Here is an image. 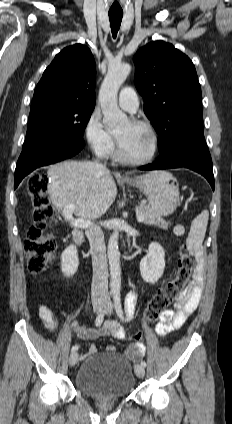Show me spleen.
I'll list each match as a JSON object with an SVG mask.
<instances>
[{
    "label": "spleen",
    "instance_id": "spleen-1",
    "mask_svg": "<svg viewBox=\"0 0 232 424\" xmlns=\"http://www.w3.org/2000/svg\"><path fill=\"white\" fill-rule=\"evenodd\" d=\"M209 212L202 211L196 218L193 219L190 227V232L186 240V246L190 254H195L201 247L205 237Z\"/></svg>",
    "mask_w": 232,
    "mask_h": 424
}]
</instances>
